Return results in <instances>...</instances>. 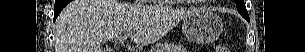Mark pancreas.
Segmentation results:
<instances>
[{
	"label": "pancreas",
	"instance_id": "obj_1",
	"mask_svg": "<svg viewBox=\"0 0 305 52\" xmlns=\"http://www.w3.org/2000/svg\"><path fill=\"white\" fill-rule=\"evenodd\" d=\"M181 48L182 47L180 45L166 43V44L160 45L159 47H156L153 51L154 52H177Z\"/></svg>",
	"mask_w": 305,
	"mask_h": 52
}]
</instances>
